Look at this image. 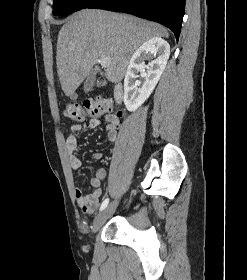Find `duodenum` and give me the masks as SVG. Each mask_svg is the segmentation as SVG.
Listing matches in <instances>:
<instances>
[{"label":"duodenum","mask_w":247,"mask_h":280,"mask_svg":"<svg viewBox=\"0 0 247 280\" xmlns=\"http://www.w3.org/2000/svg\"><path fill=\"white\" fill-rule=\"evenodd\" d=\"M115 99L118 102H121L123 99V91H122V86L120 84H117L115 86Z\"/></svg>","instance_id":"duodenum-1"}]
</instances>
